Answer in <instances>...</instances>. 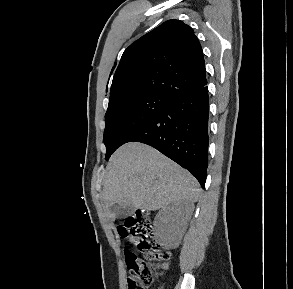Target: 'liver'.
Returning <instances> with one entry per match:
<instances>
[{
	"label": "liver",
	"mask_w": 293,
	"mask_h": 289,
	"mask_svg": "<svg viewBox=\"0 0 293 289\" xmlns=\"http://www.w3.org/2000/svg\"><path fill=\"white\" fill-rule=\"evenodd\" d=\"M199 194L198 183L187 170L137 142L113 153L103 178L106 209L129 198L135 209L154 211L180 200L196 202Z\"/></svg>",
	"instance_id": "liver-1"
}]
</instances>
